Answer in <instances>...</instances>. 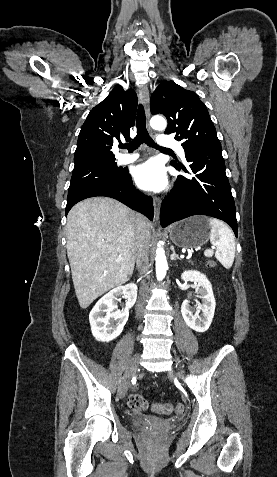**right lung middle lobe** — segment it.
Here are the masks:
<instances>
[{
	"instance_id": "dd1d6c3e",
	"label": "right lung middle lobe",
	"mask_w": 277,
	"mask_h": 477,
	"mask_svg": "<svg viewBox=\"0 0 277 477\" xmlns=\"http://www.w3.org/2000/svg\"><path fill=\"white\" fill-rule=\"evenodd\" d=\"M127 175V170L117 167L115 160L74 167L68 196L94 183L103 181L122 182L127 178Z\"/></svg>"
}]
</instances>
